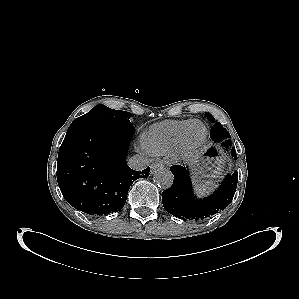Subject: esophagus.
<instances>
[{
  "instance_id": "1",
  "label": "esophagus",
  "mask_w": 299,
  "mask_h": 299,
  "mask_svg": "<svg viewBox=\"0 0 299 299\" xmlns=\"http://www.w3.org/2000/svg\"><path fill=\"white\" fill-rule=\"evenodd\" d=\"M164 168V164L162 162H156L154 164L151 165V170H152V173L158 169H162Z\"/></svg>"
}]
</instances>
